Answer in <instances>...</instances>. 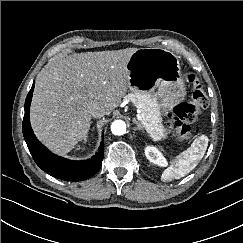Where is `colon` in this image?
<instances>
[{
	"label": "colon",
	"instance_id": "colon-1",
	"mask_svg": "<svg viewBox=\"0 0 243 243\" xmlns=\"http://www.w3.org/2000/svg\"><path fill=\"white\" fill-rule=\"evenodd\" d=\"M186 81L192 89L191 100L179 104L170 114L171 127L182 137L190 138L195 133L191 130V123L199 112L208 106V97L198 78L190 73Z\"/></svg>",
	"mask_w": 243,
	"mask_h": 243
}]
</instances>
